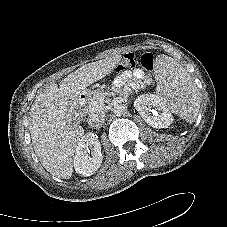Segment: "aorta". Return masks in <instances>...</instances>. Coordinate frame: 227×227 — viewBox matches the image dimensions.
<instances>
[{"label": "aorta", "instance_id": "aorta-1", "mask_svg": "<svg viewBox=\"0 0 227 227\" xmlns=\"http://www.w3.org/2000/svg\"><path fill=\"white\" fill-rule=\"evenodd\" d=\"M112 111H113V113H114L115 115L121 116V115H123V114L125 113L126 107H125L124 104H116V105H114Z\"/></svg>", "mask_w": 227, "mask_h": 227}]
</instances>
